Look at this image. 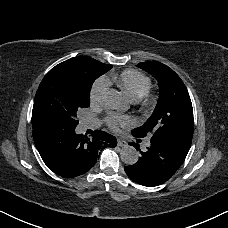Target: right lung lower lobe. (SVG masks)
<instances>
[{
	"instance_id": "98d812e1",
	"label": "right lung lower lobe",
	"mask_w": 228,
	"mask_h": 228,
	"mask_svg": "<svg viewBox=\"0 0 228 228\" xmlns=\"http://www.w3.org/2000/svg\"><path fill=\"white\" fill-rule=\"evenodd\" d=\"M33 139L47 167L59 176L72 178L90 170L98 151L115 147L116 138L94 131L91 138L76 134L75 128L33 130Z\"/></svg>"
}]
</instances>
